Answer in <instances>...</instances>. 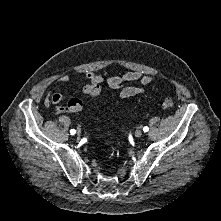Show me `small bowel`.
Wrapping results in <instances>:
<instances>
[{
	"instance_id": "small-bowel-1",
	"label": "small bowel",
	"mask_w": 221,
	"mask_h": 221,
	"mask_svg": "<svg viewBox=\"0 0 221 221\" xmlns=\"http://www.w3.org/2000/svg\"><path fill=\"white\" fill-rule=\"evenodd\" d=\"M84 78L89 84L99 85L103 82L102 75L94 71H86ZM71 79L72 77L69 74H62L56 78L55 82L67 83L70 82ZM153 81L154 76L150 74L143 71H130L123 76H111L107 78L106 82L110 88L120 91V98L127 99L144 93L145 89L142 86L148 85ZM63 100L64 96L61 93H49L44 100V105L46 107L54 106L56 114H61L65 110L64 107L60 105Z\"/></svg>"
}]
</instances>
